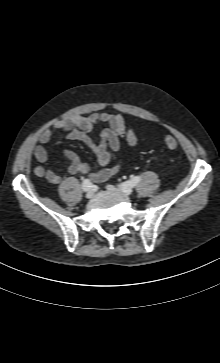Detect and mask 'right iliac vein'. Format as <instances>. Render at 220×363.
I'll use <instances>...</instances> for the list:
<instances>
[{"instance_id":"1","label":"right iliac vein","mask_w":220,"mask_h":363,"mask_svg":"<svg viewBox=\"0 0 220 363\" xmlns=\"http://www.w3.org/2000/svg\"><path fill=\"white\" fill-rule=\"evenodd\" d=\"M93 197V191H88L87 193H86V198H88V199H90V198H92Z\"/></svg>"}]
</instances>
